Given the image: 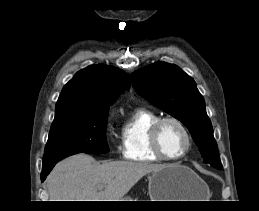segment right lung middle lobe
Returning <instances> with one entry per match:
<instances>
[{
    "instance_id": "right-lung-middle-lobe-1",
    "label": "right lung middle lobe",
    "mask_w": 259,
    "mask_h": 211,
    "mask_svg": "<svg viewBox=\"0 0 259 211\" xmlns=\"http://www.w3.org/2000/svg\"><path fill=\"white\" fill-rule=\"evenodd\" d=\"M108 109H72L56 115L45 147L43 166L76 153H106Z\"/></svg>"
}]
</instances>
